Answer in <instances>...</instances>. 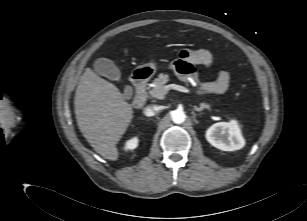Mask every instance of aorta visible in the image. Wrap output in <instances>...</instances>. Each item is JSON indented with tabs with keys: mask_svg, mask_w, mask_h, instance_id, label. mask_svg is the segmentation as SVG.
<instances>
[{
	"mask_svg": "<svg viewBox=\"0 0 307 221\" xmlns=\"http://www.w3.org/2000/svg\"><path fill=\"white\" fill-rule=\"evenodd\" d=\"M170 116H171L172 121L176 124H181L186 119V114L184 113L182 109H176L172 111Z\"/></svg>",
	"mask_w": 307,
	"mask_h": 221,
	"instance_id": "762f6f07",
	"label": "aorta"
}]
</instances>
